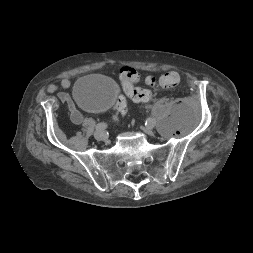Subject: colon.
<instances>
[{
    "label": "colon",
    "mask_w": 253,
    "mask_h": 253,
    "mask_svg": "<svg viewBox=\"0 0 253 253\" xmlns=\"http://www.w3.org/2000/svg\"><path fill=\"white\" fill-rule=\"evenodd\" d=\"M120 79L125 94L135 102H145L151 98V91L147 88L136 87L139 73L132 67H123L120 70ZM147 83L151 86L159 84L163 88H174L180 83V75L176 71L163 74L158 81L148 78ZM127 112V101L124 96H119L115 102V117L119 118Z\"/></svg>",
    "instance_id": "obj_1"
}]
</instances>
